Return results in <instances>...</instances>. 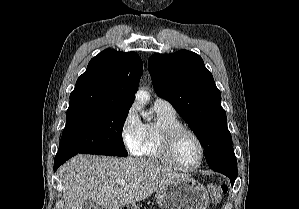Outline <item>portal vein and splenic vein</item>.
Masks as SVG:
<instances>
[{"mask_svg":"<svg viewBox=\"0 0 299 209\" xmlns=\"http://www.w3.org/2000/svg\"><path fill=\"white\" fill-rule=\"evenodd\" d=\"M118 183L121 184V185H124L125 181H119Z\"/></svg>","mask_w":299,"mask_h":209,"instance_id":"1","label":"portal vein and splenic vein"}]
</instances>
